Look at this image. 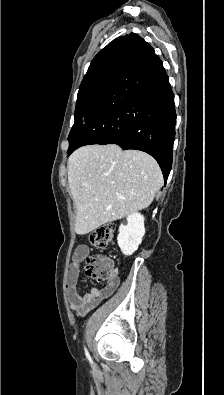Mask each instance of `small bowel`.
I'll list each match as a JSON object with an SVG mask.
<instances>
[{
  "label": "small bowel",
  "mask_w": 224,
  "mask_h": 395,
  "mask_svg": "<svg viewBox=\"0 0 224 395\" xmlns=\"http://www.w3.org/2000/svg\"><path fill=\"white\" fill-rule=\"evenodd\" d=\"M90 253V248L86 244L77 247L73 262L69 266L67 274L66 289L69 300V306L78 316L86 315L91 309L96 307L99 302L111 296L119 285V279L115 278L109 281L102 289H92L90 293L80 295L77 291V285L80 275V262L83 261Z\"/></svg>",
  "instance_id": "1"
}]
</instances>
